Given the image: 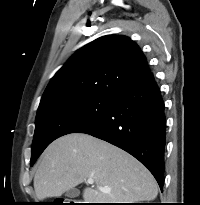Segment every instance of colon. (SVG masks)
I'll return each mask as SVG.
<instances>
[{
    "mask_svg": "<svg viewBox=\"0 0 200 205\" xmlns=\"http://www.w3.org/2000/svg\"><path fill=\"white\" fill-rule=\"evenodd\" d=\"M54 205H79V203L70 199H62L56 202Z\"/></svg>",
    "mask_w": 200,
    "mask_h": 205,
    "instance_id": "obj_1",
    "label": "colon"
}]
</instances>
